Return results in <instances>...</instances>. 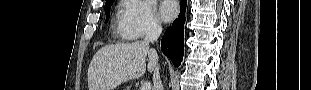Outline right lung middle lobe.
Segmentation results:
<instances>
[{"label": "right lung middle lobe", "instance_id": "1", "mask_svg": "<svg viewBox=\"0 0 311 90\" xmlns=\"http://www.w3.org/2000/svg\"><path fill=\"white\" fill-rule=\"evenodd\" d=\"M113 2H114V0H112L111 2L105 4V14H106V21H105V23H107L108 20H109L110 8H111V5L113 4Z\"/></svg>", "mask_w": 311, "mask_h": 90}]
</instances>
